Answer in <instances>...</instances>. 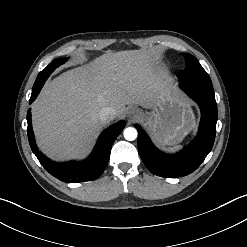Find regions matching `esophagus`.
<instances>
[{"instance_id": "obj_1", "label": "esophagus", "mask_w": 247, "mask_h": 247, "mask_svg": "<svg viewBox=\"0 0 247 247\" xmlns=\"http://www.w3.org/2000/svg\"><path fill=\"white\" fill-rule=\"evenodd\" d=\"M127 113L128 115H132L133 117H136L137 110L135 108H130Z\"/></svg>"}]
</instances>
